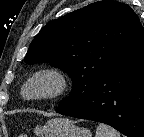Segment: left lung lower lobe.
<instances>
[{
  "label": "left lung lower lobe",
  "instance_id": "1",
  "mask_svg": "<svg viewBox=\"0 0 144 137\" xmlns=\"http://www.w3.org/2000/svg\"><path fill=\"white\" fill-rule=\"evenodd\" d=\"M56 112L108 124L128 137H144V31L84 99L58 106Z\"/></svg>",
  "mask_w": 144,
  "mask_h": 137
}]
</instances>
